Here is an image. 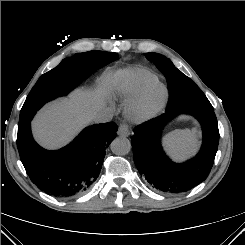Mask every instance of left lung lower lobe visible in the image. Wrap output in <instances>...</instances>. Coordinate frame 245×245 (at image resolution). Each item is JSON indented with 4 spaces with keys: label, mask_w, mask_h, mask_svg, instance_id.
Here are the masks:
<instances>
[{
    "label": "left lung lower lobe",
    "mask_w": 245,
    "mask_h": 245,
    "mask_svg": "<svg viewBox=\"0 0 245 245\" xmlns=\"http://www.w3.org/2000/svg\"><path fill=\"white\" fill-rule=\"evenodd\" d=\"M178 114L194 116L203 132L199 153L181 164L172 162L161 146L162 128ZM131 142L135 165L152 187L169 194L187 191L207 178L214 163L219 143L214 109L194 106L167 109L164 114L138 125Z\"/></svg>",
    "instance_id": "1"
}]
</instances>
